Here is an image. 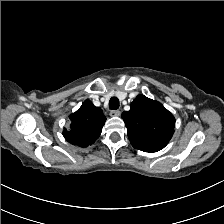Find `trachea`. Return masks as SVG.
Masks as SVG:
<instances>
[{
  "instance_id": "1",
  "label": "trachea",
  "mask_w": 224,
  "mask_h": 224,
  "mask_svg": "<svg viewBox=\"0 0 224 224\" xmlns=\"http://www.w3.org/2000/svg\"><path fill=\"white\" fill-rule=\"evenodd\" d=\"M109 108L111 110H117L119 108V100L117 97H112L109 101Z\"/></svg>"
}]
</instances>
